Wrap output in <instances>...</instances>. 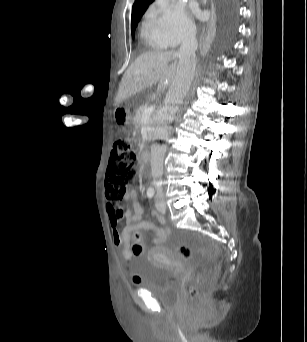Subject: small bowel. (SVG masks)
Instances as JSON below:
<instances>
[{
	"label": "small bowel",
	"mask_w": 307,
	"mask_h": 342,
	"mask_svg": "<svg viewBox=\"0 0 307 342\" xmlns=\"http://www.w3.org/2000/svg\"><path fill=\"white\" fill-rule=\"evenodd\" d=\"M127 201L128 208L125 212L122 211L121 214L116 212L112 204H109L108 215L114 245L119 249V253L124 259H131L132 255L140 254L128 253L127 241L132 229H139L140 233H142L143 230H153L155 236L151 240V243L156 249L160 248L166 242L170 231L167 227H156L153 223L143 220V211L137 201V195L134 190L127 195ZM123 218L126 220V225L123 229H120L119 223ZM160 222L163 223L164 219L160 218Z\"/></svg>",
	"instance_id": "obj_1"
}]
</instances>
